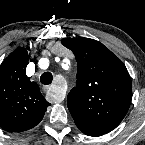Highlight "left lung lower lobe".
<instances>
[{"label": "left lung lower lobe", "instance_id": "0a47b994", "mask_svg": "<svg viewBox=\"0 0 145 145\" xmlns=\"http://www.w3.org/2000/svg\"><path fill=\"white\" fill-rule=\"evenodd\" d=\"M85 134H87V135H89V136H93V137L100 136V135H97V134H91V133H85Z\"/></svg>", "mask_w": 145, "mask_h": 145}]
</instances>
